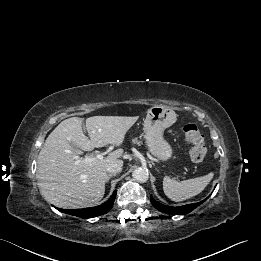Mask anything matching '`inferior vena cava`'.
Listing matches in <instances>:
<instances>
[{"label": "inferior vena cava", "instance_id": "1", "mask_svg": "<svg viewBox=\"0 0 261 261\" xmlns=\"http://www.w3.org/2000/svg\"><path fill=\"white\" fill-rule=\"evenodd\" d=\"M122 167H123V161L118 160L108 165L106 171L109 175H115L122 171Z\"/></svg>", "mask_w": 261, "mask_h": 261}]
</instances>
